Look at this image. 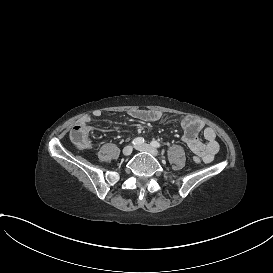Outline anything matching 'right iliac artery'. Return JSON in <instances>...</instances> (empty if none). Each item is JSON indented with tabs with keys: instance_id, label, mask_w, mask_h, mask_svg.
Segmentation results:
<instances>
[{
	"instance_id": "obj_1",
	"label": "right iliac artery",
	"mask_w": 273,
	"mask_h": 273,
	"mask_svg": "<svg viewBox=\"0 0 273 273\" xmlns=\"http://www.w3.org/2000/svg\"><path fill=\"white\" fill-rule=\"evenodd\" d=\"M144 143V138L142 137H137L132 141L133 145H141Z\"/></svg>"
}]
</instances>
